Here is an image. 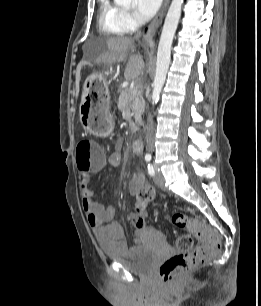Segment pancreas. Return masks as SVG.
<instances>
[{
  "label": "pancreas",
  "mask_w": 261,
  "mask_h": 306,
  "mask_svg": "<svg viewBox=\"0 0 261 306\" xmlns=\"http://www.w3.org/2000/svg\"><path fill=\"white\" fill-rule=\"evenodd\" d=\"M118 109L122 112L132 111L135 115L136 124H140L142 122L141 115L145 109V101L141 92L138 91L133 94L130 87L122 90L118 99Z\"/></svg>",
  "instance_id": "obj_1"
}]
</instances>
